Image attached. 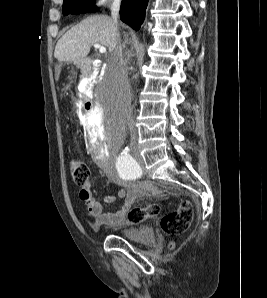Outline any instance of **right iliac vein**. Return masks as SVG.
<instances>
[{
	"mask_svg": "<svg viewBox=\"0 0 267 298\" xmlns=\"http://www.w3.org/2000/svg\"><path fill=\"white\" fill-rule=\"evenodd\" d=\"M133 149H134V150H136V147H135V146H133Z\"/></svg>",
	"mask_w": 267,
	"mask_h": 298,
	"instance_id": "right-iliac-vein-1",
	"label": "right iliac vein"
}]
</instances>
